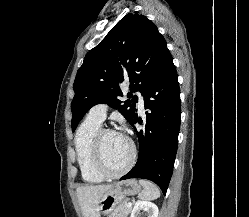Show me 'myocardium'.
<instances>
[{
	"mask_svg": "<svg viewBox=\"0 0 249 217\" xmlns=\"http://www.w3.org/2000/svg\"><path fill=\"white\" fill-rule=\"evenodd\" d=\"M112 132H116V130L108 127H101L95 134L92 145V156H93L94 167L98 173H100L102 176L108 179L119 178L124 174H126L132 168L136 160L135 144L131 139L126 137V140L130 147V158L127 164L122 169L117 171H112L107 167L102 152V139L106 133H112Z\"/></svg>",
	"mask_w": 249,
	"mask_h": 217,
	"instance_id": "myocardium-1",
	"label": "myocardium"
}]
</instances>
